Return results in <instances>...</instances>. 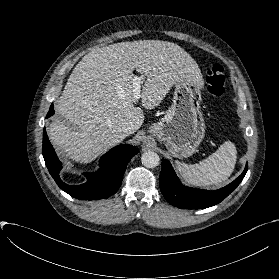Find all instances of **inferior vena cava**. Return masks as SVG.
Segmentation results:
<instances>
[{
  "label": "inferior vena cava",
  "instance_id": "obj_1",
  "mask_svg": "<svg viewBox=\"0 0 279 279\" xmlns=\"http://www.w3.org/2000/svg\"><path fill=\"white\" fill-rule=\"evenodd\" d=\"M130 134H132V130H131L130 128H124V129L122 130V135H123L124 137H126V136H128V135H130Z\"/></svg>",
  "mask_w": 279,
  "mask_h": 279
}]
</instances>
